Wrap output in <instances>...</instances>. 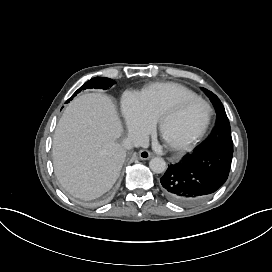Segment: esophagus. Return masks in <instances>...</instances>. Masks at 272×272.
I'll use <instances>...</instances> for the list:
<instances>
[{
    "instance_id": "1",
    "label": "esophagus",
    "mask_w": 272,
    "mask_h": 272,
    "mask_svg": "<svg viewBox=\"0 0 272 272\" xmlns=\"http://www.w3.org/2000/svg\"><path fill=\"white\" fill-rule=\"evenodd\" d=\"M152 156H153V154H152L150 151H148V150L143 149V150H140V151H139V158H140L141 160H148V159H150Z\"/></svg>"
}]
</instances>
